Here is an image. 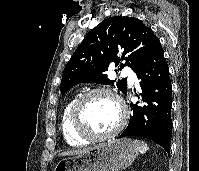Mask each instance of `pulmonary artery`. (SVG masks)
<instances>
[{"mask_svg":"<svg viewBox=\"0 0 199 171\" xmlns=\"http://www.w3.org/2000/svg\"><path fill=\"white\" fill-rule=\"evenodd\" d=\"M124 73L128 76L130 82L134 83L137 81L136 76L129 69L125 68Z\"/></svg>","mask_w":199,"mask_h":171,"instance_id":"1","label":"pulmonary artery"}]
</instances>
